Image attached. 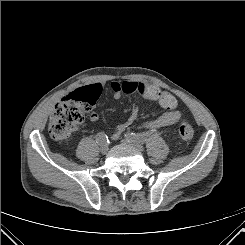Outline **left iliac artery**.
I'll return each instance as SVG.
<instances>
[{"instance_id": "obj_1", "label": "left iliac artery", "mask_w": 245, "mask_h": 245, "mask_svg": "<svg viewBox=\"0 0 245 245\" xmlns=\"http://www.w3.org/2000/svg\"><path fill=\"white\" fill-rule=\"evenodd\" d=\"M152 135H154L153 132H151V133H140V134L128 133L125 135V137L127 140H131L133 142L143 144Z\"/></svg>"}]
</instances>
